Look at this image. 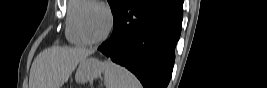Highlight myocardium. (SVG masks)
<instances>
[{"instance_id":"1","label":"myocardium","mask_w":267,"mask_h":88,"mask_svg":"<svg viewBox=\"0 0 267 88\" xmlns=\"http://www.w3.org/2000/svg\"><path fill=\"white\" fill-rule=\"evenodd\" d=\"M89 7H97L102 9L106 16H107V27L105 32L103 33L102 36H100L97 39H91L88 37V35L85 32V29L83 27V15L85 13V11L89 8ZM113 24H114V17L112 14L111 9L109 8V6H107L105 3L103 2H99V1H93L92 3H90L88 6H86L79 14L78 19H77V27H78V31L80 36L82 37V39L87 43V44H99L101 42H103L111 33L112 28H113Z\"/></svg>"}]
</instances>
